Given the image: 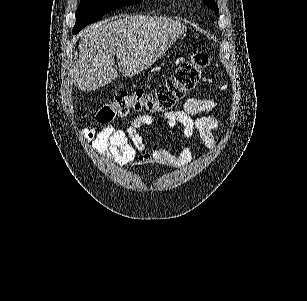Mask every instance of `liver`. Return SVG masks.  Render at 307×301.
<instances>
[{
	"label": "liver",
	"mask_w": 307,
	"mask_h": 301,
	"mask_svg": "<svg viewBox=\"0 0 307 301\" xmlns=\"http://www.w3.org/2000/svg\"><path fill=\"white\" fill-rule=\"evenodd\" d=\"M181 20L145 14H118L79 32V56L71 78L79 90H95L118 76H134L156 62L186 32Z\"/></svg>",
	"instance_id": "6515ba94"
}]
</instances>
